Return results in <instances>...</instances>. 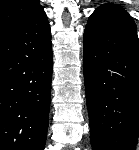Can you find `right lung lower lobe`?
Returning <instances> with one entry per match:
<instances>
[{"label":"right lung lower lobe","instance_id":"obj_1","mask_svg":"<svg viewBox=\"0 0 139 150\" xmlns=\"http://www.w3.org/2000/svg\"><path fill=\"white\" fill-rule=\"evenodd\" d=\"M52 70L44 10L0 34V150H44Z\"/></svg>","mask_w":139,"mask_h":150}]
</instances>
